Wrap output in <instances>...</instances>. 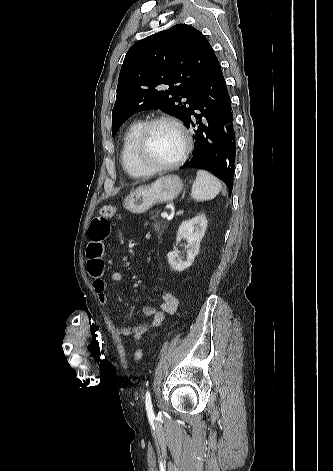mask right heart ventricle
<instances>
[{
    "mask_svg": "<svg viewBox=\"0 0 333 471\" xmlns=\"http://www.w3.org/2000/svg\"><path fill=\"white\" fill-rule=\"evenodd\" d=\"M143 124L144 122L141 120H134L129 123L121 139L120 162L124 171L132 178H141L149 175L137 165L134 157L135 141Z\"/></svg>",
    "mask_w": 333,
    "mask_h": 471,
    "instance_id": "1",
    "label": "right heart ventricle"
}]
</instances>
